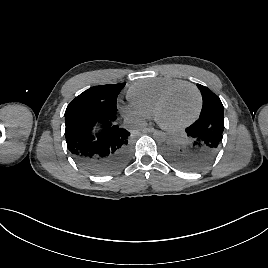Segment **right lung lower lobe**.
<instances>
[{
	"label": "right lung lower lobe",
	"mask_w": 268,
	"mask_h": 268,
	"mask_svg": "<svg viewBox=\"0 0 268 268\" xmlns=\"http://www.w3.org/2000/svg\"><path fill=\"white\" fill-rule=\"evenodd\" d=\"M116 111L79 105L65 111L67 148L77 163L95 175L120 169L130 153V133L112 125ZM101 130L93 133V127Z\"/></svg>",
	"instance_id": "98d812e1"
}]
</instances>
